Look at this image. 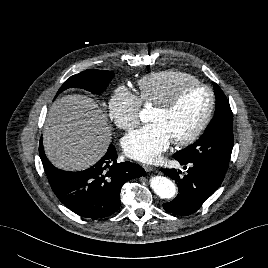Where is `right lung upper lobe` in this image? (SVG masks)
<instances>
[{
  "mask_svg": "<svg viewBox=\"0 0 268 268\" xmlns=\"http://www.w3.org/2000/svg\"><path fill=\"white\" fill-rule=\"evenodd\" d=\"M39 153H40L41 159H43V161H45L46 156H45L44 152L39 150Z\"/></svg>",
  "mask_w": 268,
  "mask_h": 268,
  "instance_id": "right-lung-upper-lobe-1",
  "label": "right lung upper lobe"
}]
</instances>
